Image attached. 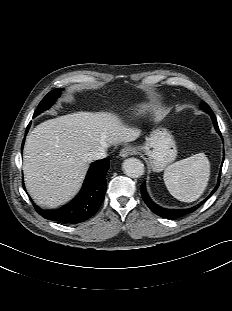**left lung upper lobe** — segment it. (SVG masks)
Wrapping results in <instances>:
<instances>
[{"label":"left lung upper lobe","mask_w":232,"mask_h":311,"mask_svg":"<svg viewBox=\"0 0 232 311\" xmlns=\"http://www.w3.org/2000/svg\"><path fill=\"white\" fill-rule=\"evenodd\" d=\"M202 108H204V109H210V107L208 106V104L205 103V102H202Z\"/></svg>","instance_id":"obj_1"}]
</instances>
